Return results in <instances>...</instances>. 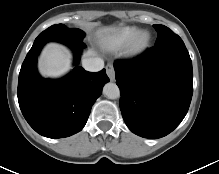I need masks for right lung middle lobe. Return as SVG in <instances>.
Listing matches in <instances>:
<instances>
[{"label":"right lung middle lobe","mask_w":219,"mask_h":174,"mask_svg":"<svg viewBox=\"0 0 219 174\" xmlns=\"http://www.w3.org/2000/svg\"><path fill=\"white\" fill-rule=\"evenodd\" d=\"M83 37L84 32L80 29L68 28L63 24H56L41 32L35 39L32 47L45 44L51 40L58 42L81 41Z\"/></svg>","instance_id":"dd1d6c3e"}]
</instances>
